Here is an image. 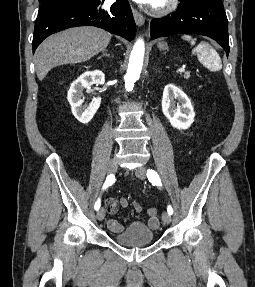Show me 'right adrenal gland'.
<instances>
[{
  "instance_id": "2a0ac1e0",
  "label": "right adrenal gland",
  "mask_w": 255,
  "mask_h": 287,
  "mask_svg": "<svg viewBox=\"0 0 255 287\" xmlns=\"http://www.w3.org/2000/svg\"><path fill=\"white\" fill-rule=\"evenodd\" d=\"M103 56H110V54H107V50H104V52H102V56H99V58H97V60H101V58H103Z\"/></svg>"
}]
</instances>
